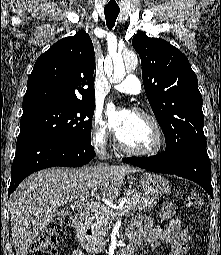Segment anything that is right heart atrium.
<instances>
[{
    "mask_svg": "<svg viewBox=\"0 0 221 255\" xmlns=\"http://www.w3.org/2000/svg\"><path fill=\"white\" fill-rule=\"evenodd\" d=\"M109 131L101 113L96 112L92 122V143L98 150H103L107 146Z\"/></svg>",
    "mask_w": 221,
    "mask_h": 255,
    "instance_id": "d8ad5b80",
    "label": "right heart atrium"
}]
</instances>
